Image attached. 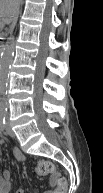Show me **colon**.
Returning <instances> with one entry per match:
<instances>
[{"instance_id": "5ec220e1", "label": "colon", "mask_w": 103, "mask_h": 193, "mask_svg": "<svg viewBox=\"0 0 103 193\" xmlns=\"http://www.w3.org/2000/svg\"><path fill=\"white\" fill-rule=\"evenodd\" d=\"M37 173L40 176H47L55 173L54 165L48 160H41L37 165ZM54 183L60 188L61 192H65L66 179L61 175H55Z\"/></svg>"}]
</instances>
